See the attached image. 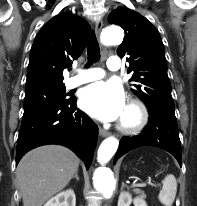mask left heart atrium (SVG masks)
<instances>
[{"label": "left heart atrium", "mask_w": 197, "mask_h": 206, "mask_svg": "<svg viewBox=\"0 0 197 206\" xmlns=\"http://www.w3.org/2000/svg\"><path fill=\"white\" fill-rule=\"evenodd\" d=\"M80 105L91 116L102 121L123 117L126 111L125 95L116 82H97L84 88Z\"/></svg>", "instance_id": "1"}]
</instances>
